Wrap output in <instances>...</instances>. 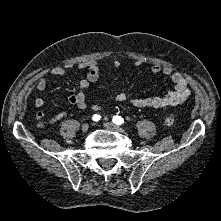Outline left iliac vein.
<instances>
[{"label": "left iliac vein", "mask_w": 221, "mask_h": 221, "mask_svg": "<svg viewBox=\"0 0 221 221\" xmlns=\"http://www.w3.org/2000/svg\"><path fill=\"white\" fill-rule=\"evenodd\" d=\"M103 126L109 130V131H116V132H119V133H124V129L121 128L120 126L114 124V123H111V122H105L103 124Z\"/></svg>", "instance_id": "4c4485c4"}]
</instances>
